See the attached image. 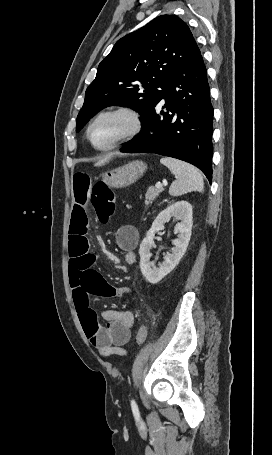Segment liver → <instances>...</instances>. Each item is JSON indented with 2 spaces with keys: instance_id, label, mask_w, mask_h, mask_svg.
<instances>
[{
  "instance_id": "6515ba94",
  "label": "liver",
  "mask_w": 272,
  "mask_h": 455,
  "mask_svg": "<svg viewBox=\"0 0 272 455\" xmlns=\"http://www.w3.org/2000/svg\"><path fill=\"white\" fill-rule=\"evenodd\" d=\"M111 158V155H107L101 159H99L96 163L95 166H103L105 165Z\"/></svg>"
}]
</instances>
